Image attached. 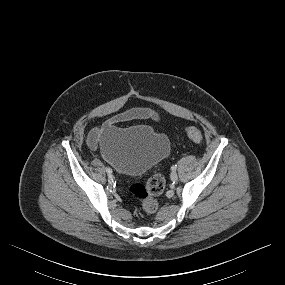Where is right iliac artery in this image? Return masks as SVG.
<instances>
[{
	"instance_id": "82829eb1",
	"label": "right iliac artery",
	"mask_w": 285,
	"mask_h": 285,
	"mask_svg": "<svg viewBox=\"0 0 285 285\" xmlns=\"http://www.w3.org/2000/svg\"><path fill=\"white\" fill-rule=\"evenodd\" d=\"M106 172H107L108 174H111V173H112V169L109 168V167H107V168H106Z\"/></svg>"
}]
</instances>
